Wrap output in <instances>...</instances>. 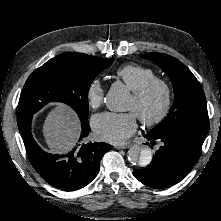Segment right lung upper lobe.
Listing matches in <instances>:
<instances>
[{
	"mask_svg": "<svg viewBox=\"0 0 221 221\" xmlns=\"http://www.w3.org/2000/svg\"><path fill=\"white\" fill-rule=\"evenodd\" d=\"M93 57L94 56H89L86 54H78V53L69 52V53L58 55L55 58H62L68 64H71V65H83L87 63L89 60H91Z\"/></svg>",
	"mask_w": 221,
	"mask_h": 221,
	"instance_id": "1",
	"label": "right lung upper lobe"
}]
</instances>
